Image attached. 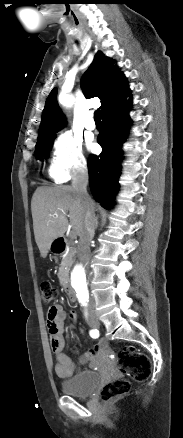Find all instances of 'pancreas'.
<instances>
[{
    "label": "pancreas",
    "mask_w": 183,
    "mask_h": 438,
    "mask_svg": "<svg viewBox=\"0 0 183 438\" xmlns=\"http://www.w3.org/2000/svg\"><path fill=\"white\" fill-rule=\"evenodd\" d=\"M74 256H75V250L74 249H71L67 254H66V256H64L63 258H62V261H61V267H60V275H59V278L61 279V277H62V274L64 273V268L65 267H69V266H71V264L73 263V261H74Z\"/></svg>",
    "instance_id": "pancreas-1"
}]
</instances>
